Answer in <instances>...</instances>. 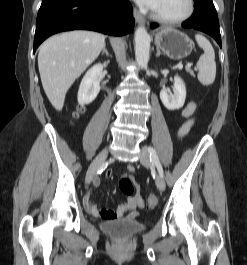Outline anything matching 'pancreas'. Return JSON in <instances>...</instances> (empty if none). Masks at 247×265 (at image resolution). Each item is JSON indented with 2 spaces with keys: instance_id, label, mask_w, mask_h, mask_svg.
I'll use <instances>...</instances> for the list:
<instances>
[{
  "instance_id": "pancreas-1",
  "label": "pancreas",
  "mask_w": 247,
  "mask_h": 265,
  "mask_svg": "<svg viewBox=\"0 0 247 265\" xmlns=\"http://www.w3.org/2000/svg\"><path fill=\"white\" fill-rule=\"evenodd\" d=\"M186 71L190 73L193 77L195 76L194 72L189 67H186Z\"/></svg>"
}]
</instances>
